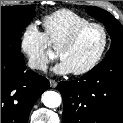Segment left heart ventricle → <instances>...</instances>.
<instances>
[{
    "label": "left heart ventricle",
    "mask_w": 123,
    "mask_h": 123,
    "mask_svg": "<svg viewBox=\"0 0 123 123\" xmlns=\"http://www.w3.org/2000/svg\"><path fill=\"white\" fill-rule=\"evenodd\" d=\"M103 43V34L98 28L86 30L76 43L61 54L72 71L82 69L89 65L97 56Z\"/></svg>",
    "instance_id": "b2bd125f"
}]
</instances>
